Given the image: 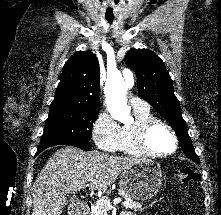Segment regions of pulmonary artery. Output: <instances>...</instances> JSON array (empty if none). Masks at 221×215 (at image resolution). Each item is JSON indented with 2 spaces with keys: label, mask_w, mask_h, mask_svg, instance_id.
Listing matches in <instances>:
<instances>
[{
  "label": "pulmonary artery",
  "mask_w": 221,
  "mask_h": 215,
  "mask_svg": "<svg viewBox=\"0 0 221 215\" xmlns=\"http://www.w3.org/2000/svg\"><path fill=\"white\" fill-rule=\"evenodd\" d=\"M130 105L134 110L148 109V104L139 97L133 96L130 98Z\"/></svg>",
  "instance_id": "e3ab8cb5"
}]
</instances>
